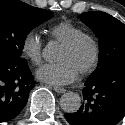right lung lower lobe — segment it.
I'll use <instances>...</instances> for the list:
<instances>
[{
    "label": "right lung lower lobe",
    "instance_id": "1",
    "mask_svg": "<svg viewBox=\"0 0 125 125\" xmlns=\"http://www.w3.org/2000/svg\"><path fill=\"white\" fill-rule=\"evenodd\" d=\"M34 84L26 60L12 64L0 57V123L13 119L21 112Z\"/></svg>",
    "mask_w": 125,
    "mask_h": 125
}]
</instances>
